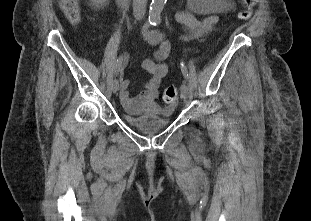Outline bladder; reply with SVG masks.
<instances>
[{"label": "bladder", "instance_id": "obj_1", "mask_svg": "<svg viewBox=\"0 0 311 221\" xmlns=\"http://www.w3.org/2000/svg\"><path fill=\"white\" fill-rule=\"evenodd\" d=\"M124 123L141 134L154 135L172 124V108H121Z\"/></svg>", "mask_w": 311, "mask_h": 221}]
</instances>
